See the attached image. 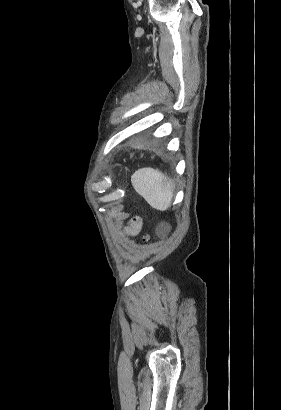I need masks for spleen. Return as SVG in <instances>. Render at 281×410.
I'll return each instance as SVG.
<instances>
[{
	"mask_svg": "<svg viewBox=\"0 0 281 410\" xmlns=\"http://www.w3.org/2000/svg\"><path fill=\"white\" fill-rule=\"evenodd\" d=\"M131 182L136 192L152 208L165 211L170 207L175 184L172 179L158 169H139L131 176Z\"/></svg>",
	"mask_w": 281,
	"mask_h": 410,
	"instance_id": "spleen-1",
	"label": "spleen"
}]
</instances>
